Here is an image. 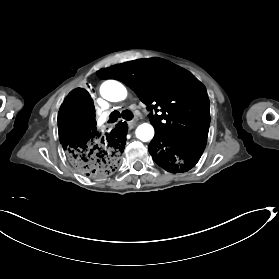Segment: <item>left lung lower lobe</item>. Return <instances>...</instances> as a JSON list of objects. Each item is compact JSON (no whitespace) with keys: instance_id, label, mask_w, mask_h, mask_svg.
Here are the masks:
<instances>
[{"instance_id":"1","label":"left lung lower lobe","mask_w":279,"mask_h":279,"mask_svg":"<svg viewBox=\"0 0 279 279\" xmlns=\"http://www.w3.org/2000/svg\"><path fill=\"white\" fill-rule=\"evenodd\" d=\"M206 142L181 141L156 134L148 146L154 162L172 173L186 172L200 159Z\"/></svg>"}]
</instances>
